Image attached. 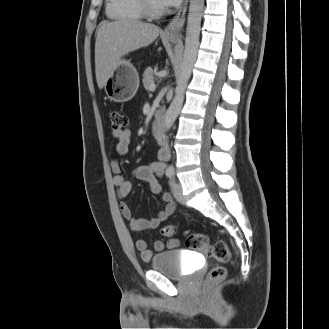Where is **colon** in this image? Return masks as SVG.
<instances>
[{
    "instance_id": "1",
    "label": "colon",
    "mask_w": 329,
    "mask_h": 329,
    "mask_svg": "<svg viewBox=\"0 0 329 329\" xmlns=\"http://www.w3.org/2000/svg\"><path fill=\"white\" fill-rule=\"evenodd\" d=\"M111 128L115 135H120L128 124L127 117L118 112L112 111L110 114ZM177 233L175 225L168 224L161 228V234L165 237H173ZM186 245L193 250L203 254L213 256L220 263H227L231 258V253L224 241L218 240L211 244L206 234L199 232H189L186 235ZM227 269L223 265L213 267L207 275V282L210 284L221 282L226 278Z\"/></svg>"
}]
</instances>
